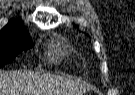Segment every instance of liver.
Instances as JSON below:
<instances>
[{"instance_id":"1","label":"liver","mask_w":135,"mask_h":95,"mask_svg":"<svg viewBox=\"0 0 135 95\" xmlns=\"http://www.w3.org/2000/svg\"><path fill=\"white\" fill-rule=\"evenodd\" d=\"M86 86L58 75L0 70V95H81Z\"/></svg>"}]
</instances>
